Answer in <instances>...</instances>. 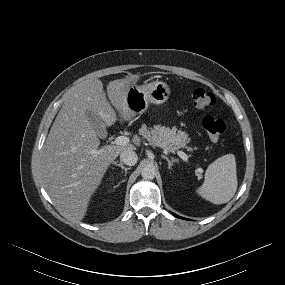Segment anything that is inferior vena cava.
Instances as JSON below:
<instances>
[{
  "instance_id": "602c4592",
  "label": "inferior vena cava",
  "mask_w": 285,
  "mask_h": 285,
  "mask_svg": "<svg viewBox=\"0 0 285 285\" xmlns=\"http://www.w3.org/2000/svg\"><path fill=\"white\" fill-rule=\"evenodd\" d=\"M120 160L129 166H133L137 163V154L132 150H124L120 153Z\"/></svg>"
}]
</instances>
